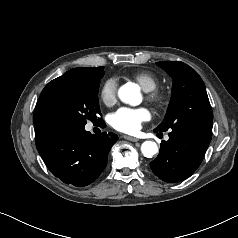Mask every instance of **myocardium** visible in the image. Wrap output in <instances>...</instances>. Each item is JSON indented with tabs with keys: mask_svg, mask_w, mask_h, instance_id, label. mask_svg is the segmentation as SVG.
Masks as SVG:
<instances>
[{
	"mask_svg": "<svg viewBox=\"0 0 238 238\" xmlns=\"http://www.w3.org/2000/svg\"><path fill=\"white\" fill-rule=\"evenodd\" d=\"M146 99L158 108H162L167 101L166 95L157 89L148 91Z\"/></svg>",
	"mask_w": 238,
	"mask_h": 238,
	"instance_id": "myocardium-1",
	"label": "myocardium"
}]
</instances>
